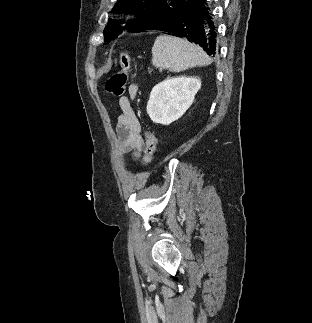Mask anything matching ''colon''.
<instances>
[{"instance_id":"colon-1","label":"colon","mask_w":312,"mask_h":323,"mask_svg":"<svg viewBox=\"0 0 312 323\" xmlns=\"http://www.w3.org/2000/svg\"><path fill=\"white\" fill-rule=\"evenodd\" d=\"M131 62L128 54H121L118 61V69L112 74L106 83V90L114 97H120L124 93L127 85V75L130 70ZM156 137L152 131L146 130L144 133L145 152L143 156L144 165L152 162L156 148Z\"/></svg>"}]
</instances>
